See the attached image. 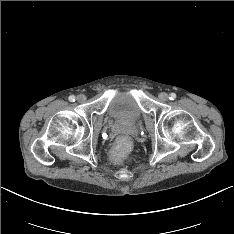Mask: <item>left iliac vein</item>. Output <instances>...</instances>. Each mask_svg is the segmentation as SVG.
<instances>
[{"mask_svg": "<svg viewBox=\"0 0 234 234\" xmlns=\"http://www.w3.org/2000/svg\"><path fill=\"white\" fill-rule=\"evenodd\" d=\"M158 97L162 102H165V101H167L169 99L168 94L165 93V92L160 93Z\"/></svg>", "mask_w": 234, "mask_h": 234, "instance_id": "1", "label": "left iliac vein"}]
</instances>
